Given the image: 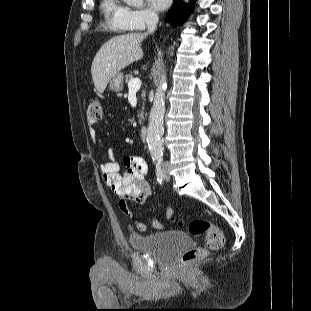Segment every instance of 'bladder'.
I'll return each mask as SVG.
<instances>
[{
    "instance_id": "1",
    "label": "bladder",
    "mask_w": 311,
    "mask_h": 311,
    "mask_svg": "<svg viewBox=\"0 0 311 311\" xmlns=\"http://www.w3.org/2000/svg\"><path fill=\"white\" fill-rule=\"evenodd\" d=\"M129 241L135 251L152 254L160 262H170L191 244L189 236L178 230L133 234Z\"/></svg>"
}]
</instances>
